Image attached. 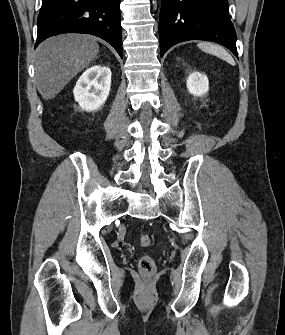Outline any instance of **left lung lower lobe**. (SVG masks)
Instances as JSON below:
<instances>
[{
    "instance_id": "0a47b994",
    "label": "left lung lower lobe",
    "mask_w": 285,
    "mask_h": 335,
    "mask_svg": "<svg viewBox=\"0 0 285 335\" xmlns=\"http://www.w3.org/2000/svg\"><path fill=\"white\" fill-rule=\"evenodd\" d=\"M228 0H161L160 54L188 40L219 43L238 57Z\"/></svg>"
}]
</instances>
